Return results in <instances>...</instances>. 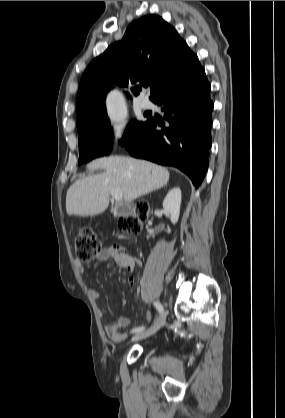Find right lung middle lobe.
I'll return each mask as SVG.
<instances>
[{
  "label": "right lung middle lobe",
  "mask_w": 285,
  "mask_h": 418,
  "mask_svg": "<svg viewBox=\"0 0 285 418\" xmlns=\"http://www.w3.org/2000/svg\"><path fill=\"white\" fill-rule=\"evenodd\" d=\"M131 121L127 126L121 145L130 141L149 121ZM79 139L78 164L87 163L90 160L110 153L112 147V128L107 113H102L96 118L77 125Z\"/></svg>",
  "instance_id": "right-lung-middle-lobe-1"
}]
</instances>
